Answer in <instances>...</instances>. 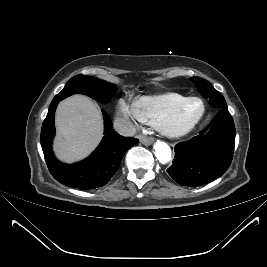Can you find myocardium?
I'll use <instances>...</instances> for the list:
<instances>
[{
	"instance_id": "obj_1",
	"label": "myocardium",
	"mask_w": 267,
	"mask_h": 267,
	"mask_svg": "<svg viewBox=\"0 0 267 267\" xmlns=\"http://www.w3.org/2000/svg\"><path fill=\"white\" fill-rule=\"evenodd\" d=\"M192 100H198L202 104V110L199 116L190 124L181 127L176 128L173 126L174 121L182 111V109L185 107V105L192 101ZM206 113V104L204 100L197 96H191L184 99L182 102H180L175 108H173L168 114L163 116L157 123L156 128L160 133H162L164 136L169 138H180L188 133H190L203 119Z\"/></svg>"
}]
</instances>
